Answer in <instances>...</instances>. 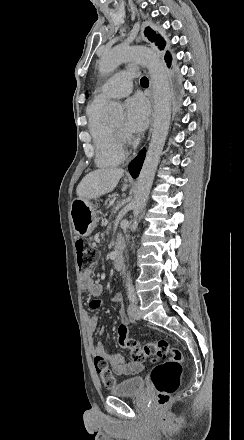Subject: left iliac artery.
I'll return each mask as SVG.
<instances>
[{
    "label": "left iliac artery",
    "mask_w": 244,
    "mask_h": 440,
    "mask_svg": "<svg viewBox=\"0 0 244 440\" xmlns=\"http://www.w3.org/2000/svg\"><path fill=\"white\" fill-rule=\"evenodd\" d=\"M127 289H128V299L130 302L134 303L136 301V294H135L134 288H133V286L128 285Z\"/></svg>",
    "instance_id": "44dca946"
}]
</instances>
